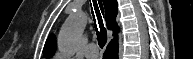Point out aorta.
<instances>
[{
  "mask_svg": "<svg viewBox=\"0 0 193 59\" xmlns=\"http://www.w3.org/2000/svg\"><path fill=\"white\" fill-rule=\"evenodd\" d=\"M86 24L87 16L82 11L70 15L63 24L58 37V47L67 57L74 54L77 41Z\"/></svg>",
  "mask_w": 193,
  "mask_h": 59,
  "instance_id": "1",
  "label": "aorta"
}]
</instances>
